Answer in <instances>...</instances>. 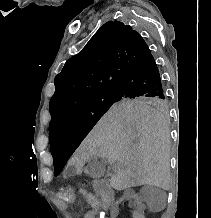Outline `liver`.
<instances>
[{
  "instance_id": "obj_1",
  "label": "liver",
  "mask_w": 211,
  "mask_h": 218,
  "mask_svg": "<svg viewBox=\"0 0 211 218\" xmlns=\"http://www.w3.org/2000/svg\"><path fill=\"white\" fill-rule=\"evenodd\" d=\"M97 156L109 164L118 162L120 170L111 180L115 190L144 184L170 188L169 132L157 110L114 104L83 140L71 164L83 170L85 162Z\"/></svg>"
}]
</instances>
